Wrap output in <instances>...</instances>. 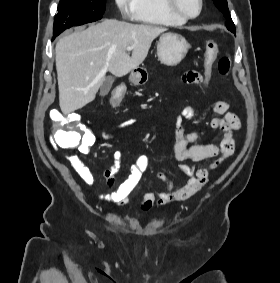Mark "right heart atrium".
<instances>
[{
	"label": "right heart atrium",
	"mask_w": 280,
	"mask_h": 283,
	"mask_svg": "<svg viewBox=\"0 0 280 283\" xmlns=\"http://www.w3.org/2000/svg\"><path fill=\"white\" fill-rule=\"evenodd\" d=\"M115 4L123 16H130L134 12L135 0H115Z\"/></svg>",
	"instance_id": "1"
}]
</instances>
